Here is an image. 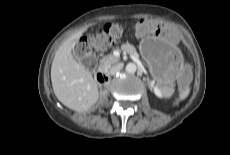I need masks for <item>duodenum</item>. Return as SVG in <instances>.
<instances>
[{
  "label": "duodenum",
  "instance_id": "duodenum-1",
  "mask_svg": "<svg viewBox=\"0 0 230 155\" xmlns=\"http://www.w3.org/2000/svg\"><path fill=\"white\" fill-rule=\"evenodd\" d=\"M96 80L100 84L108 82V73L106 69H99L95 74Z\"/></svg>",
  "mask_w": 230,
  "mask_h": 155
}]
</instances>
